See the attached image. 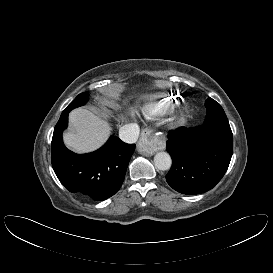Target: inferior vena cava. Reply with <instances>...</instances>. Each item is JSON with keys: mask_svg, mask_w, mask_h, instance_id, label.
Wrapping results in <instances>:
<instances>
[{"mask_svg": "<svg viewBox=\"0 0 273 273\" xmlns=\"http://www.w3.org/2000/svg\"><path fill=\"white\" fill-rule=\"evenodd\" d=\"M140 128L136 123H130L119 129V137L126 143H135L139 137Z\"/></svg>", "mask_w": 273, "mask_h": 273, "instance_id": "inferior-vena-cava-1", "label": "inferior vena cava"}]
</instances>
